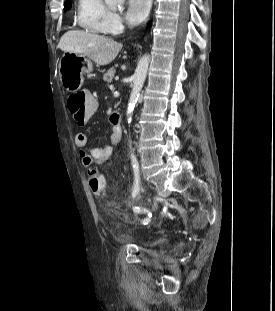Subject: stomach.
I'll list each match as a JSON object with an SVG mask.
<instances>
[{"label":"stomach","mask_w":275,"mask_h":311,"mask_svg":"<svg viewBox=\"0 0 275 311\" xmlns=\"http://www.w3.org/2000/svg\"><path fill=\"white\" fill-rule=\"evenodd\" d=\"M92 70V62L75 52H65L59 62L60 80L68 92L78 91L83 85L84 75Z\"/></svg>","instance_id":"stomach-1"}]
</instances>
